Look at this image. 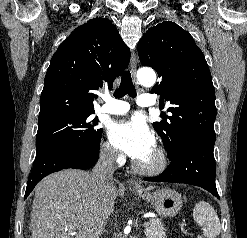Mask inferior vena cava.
I'll list each match as a JSON object with an SVG mask.
<instances>
[{
    "label": "inferior vena cava",
    "mask_w": 247,
    "mask_h": 238,
    "mask_svg": "<svg viewBox=\"0 0 247 238\" xmlns=\"http://www.w3.org/2000/svg\"><path fill=\"white\" fill-rule=\"evenodd\" d=\"M116 157L117 152L115 150H107L100 154L99 160L91 173L92 179L99 187L105 186L113 179Z\"/></svg>",
    "instance_id": "obj_1"
}]
</instances>
